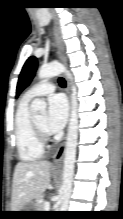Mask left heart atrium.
I'll use <instances>...</instances> for the list:
<instances>
[{
	"mask_svg": "<svg viewBox=\"0 0 123 219\" xmlns=\"http://www.w3.org/2000/svg\"><path fill=\"white\" fill-rule=\"evenodd\" d=\"M68 116V105L65 97L54 94L48 99L46 128L51 133L59 132L65 125Z\"/></svg>",
	"mask_w": 123,
	"mask_h": 219,
	"instance_id": "left-heart-atrium-1",
	"label": "left heart atrium"
}]
</instances>
